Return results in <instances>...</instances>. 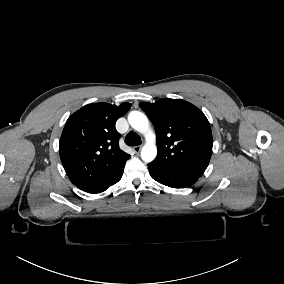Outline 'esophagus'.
Listing matches in <instances>:
<instances>
[{"mask_svg": "<svg viewBox=\"0 0 284 284\" xmlns=\"http://www.w3.org/2000/svg\"><path fill=\"white\" fill-rule=\"evenodd\" d=\"M141 148H142L141 146H134L133 150H134L135 153H139Z\"/></svg>", "mask_w": 284, "mask_h": 284, "instance_id": "obj_1", "label": "esophagus"}]
</instances>
